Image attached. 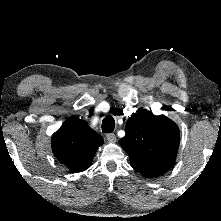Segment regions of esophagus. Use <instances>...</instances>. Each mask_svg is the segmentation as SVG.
Listing matches in <instances>:
<instances>
[{"instance_id":"obj_1","label":"esophagus","mask_w":221,"mask_h":221,"mask_svg":"<svg viewBox=\"0 0 221 221\" xmlns=\"http://www.w3.org/2000/svg\"><path fill=\"white\" fill-rule=\"evenodd\" d=\"M106 138L109 142H116V135L114 133H109L106 135Z\"/></svg>"}]
</instances>
